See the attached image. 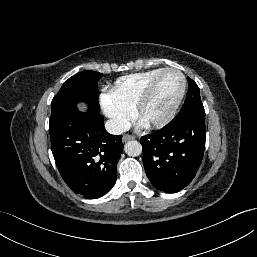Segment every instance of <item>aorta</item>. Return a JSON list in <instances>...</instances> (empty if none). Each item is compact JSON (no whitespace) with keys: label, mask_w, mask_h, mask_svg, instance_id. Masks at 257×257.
<instances>
[{"label":"aorta","mask_w":257,"mask_h":257,"mask_svg":"<svg viewBox=\"0 0 257 257\" xmlns=\"http://www.w3.org/2000/svg\"><path fill=\"white\" fill-rule=\"evenodd\" d=\"M124 150L128 156L136 157L142 153V146L138 141L130 140L125 144Z\"/></svg>","instance_id":"762f6f07"}]
</instances>
